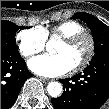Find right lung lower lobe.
<instances>
[{"mask_svg": "<svg viewBox=\"0 0 109 109\" xmlns=\"http://www.w3.org/2000/svg\"><path fill=\"white\" fill-rule=\"evenodd\" d=\"M32 76L19 52L1 50V109L14 104L25 80Z\"/></svg>", "mask_w": 109, "mask_h": 109, "instance_id": "1", "label": "right lung lower lobe"}]
</instances>
